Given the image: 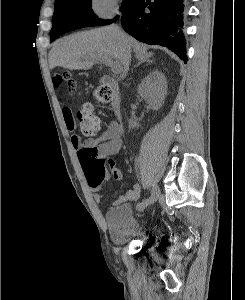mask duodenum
Here are the masks:
<instances>
[{
  "instance_id": "410a0bca",
  "label": "duodenum",
  "mask_w": 245,
  "mask_h": 300,
  "mask_svg": "<svg viewBox=\"0 0 245 300\" xmlns=\"http://www.w3.org/2000/svg\"><path fill=\"white\" fill-rule=\"evenodd\" d=\"M101 82L112 90V111L120 118L122 114L121 97L118 84L111 76H103Z\"/></svg>"
}]
</instances>
